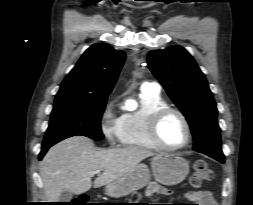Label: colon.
<instances>
[{
	"instance_id": "5ec220e1",
	"label": "colon",
	"mask_w": 253,
	"mask_h": 205,
	"mask_svg": "<svg viewBox=\"0 0 253 205\" xmlns=\"http://www.w3.org/2000/svg\"><path fill=\"white\" fill-rule=\"evenodd\" d=\"M213 178V172L209 168L207 162L204 160H198L194 163L192 169V175L190 179V184L194 188H199ZM69 205H87L86 197H79L74 199Z\"/></svg>"
}]
</instances>
